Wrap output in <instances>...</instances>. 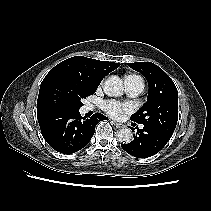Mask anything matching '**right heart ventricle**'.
<instances>
[{"label": "right heart ventricle", "mask_w": 211, "mask_h": 211, "mask_svg": "<svg viewBox=\"0 0 211 211\" xmlns=\"http://www.w3.org/2000/svg\"><path fill=\"white\" fill-rule=\"evenodd\" d=\"M129 77H139V78H141L140 76H137V75H128V76L125 77V79L129 78Z\"/></svg>", "instance_id": "e07e8e85"}]
</instances>
